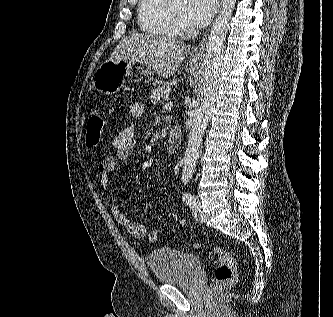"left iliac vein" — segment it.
Segmentation results:
<instances>
[{"mask_svg": "<svg viewBox=\"0 0 333 317\" xmlns=\"http://www.w3.org/2000/svg\"><path fill=\"white\" fill-rule=\"evenodd\" d=\"M192 215L196 221H198V222L204 221V215H203L201 203L199 200L197 201V204L194 207H192Z\"/></svg>", "mask_w": 333, "mask_h": 317, "instance_id": "left-iliac-vein-1", "label": "left iliac vein"}]
</instances>
